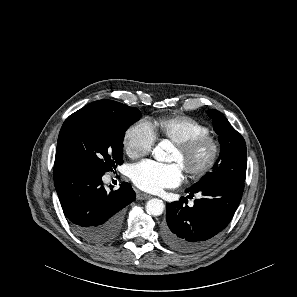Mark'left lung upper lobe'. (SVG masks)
I'll use <instances>...</instances> for the list:
<instances>
[{
  "instance_id": "obj_1",
  "label": "left lung upper lobe",
  "mask_w": 297,
  "mask_h": 297,
  "mask_svg": "<svg viewBox=\"0 0 297 297\" xmlns=\"http://www.w3.org/2000/svg\"><path fill=\"white\" fill-rule=\"evenodd\" d=\"M208 115L212 119L214 130L219 135L220 156L213 166L212 172H208L191 188L218 181L244 184L247 162L245 140L221 112L210 109L208 110Z\"/></svg>"
}]
</instances>
